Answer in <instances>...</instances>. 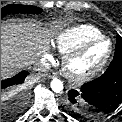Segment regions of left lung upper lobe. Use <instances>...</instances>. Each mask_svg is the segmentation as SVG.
Wrapping results in <instances>:
<instances>
[{
	"label": "left lung upper lobe",
	"mask_w": 122,
	"mask_h": 122,
	"mask_svg": "<svg viewBox=\"0 0 122 122\" xmlns=\"http://www.w3.org/2000/svg\"><path fill=\"white\" fill-rule=\"evenodd\" d=\"M114 58H122V37L117 35Z\"/></svg>",
	"instance_id": "5c2ea615"
}]
</instances>
